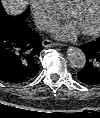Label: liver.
I'll use <instances>...</instances> for the list:
<instances>
[{"label":"liver","mask_w":100,"mask_h":118,"mask_svg":"<svg viewBox=\"0 0 100 118\" xmlns=\"http://www.w3.org/2000/svg\"><path fill=\"white\" fill-rule=\"evenodd\" d=\"M4 10L11 15L22 14L28 6V0H1Z\"/></svg>","instance_id":"liver-1"}]
</instances>
